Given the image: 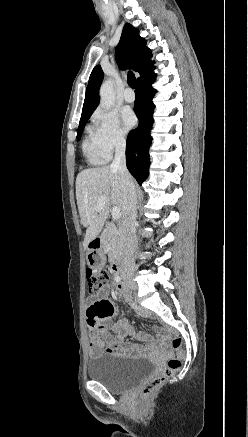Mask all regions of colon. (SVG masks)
Masks as SVG:
<instances>
[{
  "label": "colon",
  "mask_w": 248,
  "mask_h": 437,
  "mask_svg": "<svg viewBox=\"0 0 248 437\" xmlns=\"http://www.w3.org/2000/svg\"><path fill=\"white\" fill-rule=\"evenodd\" d=\"M86 279L89 293L98 294L106 285L109 273L105 269L102 272H93L89 268ZM182 354V339L175 337L171 340V354L164 369L142 386L140 393L143 398L149 397L180 369Z\"/></svg>",
  "instance_id": "5ec220e1"
}]
</instances>
